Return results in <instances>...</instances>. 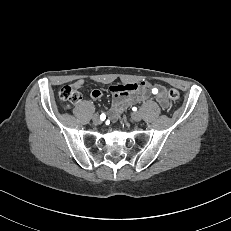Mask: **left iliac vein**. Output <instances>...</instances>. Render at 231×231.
<instances>
[{"label":"left iliac vein","instance_id":"left-iliac-vein-1","mask_svg":"<svg viewBox=\"0 0 231 231\" xmlns=\"http://www.w3.org/2000/svg\"><path fill=\"white\" fill-rule=\"evenodd\" d=\"M131 118L134 121L139 122L142 119V115L140 112H134V113H132Z\"/></svg>","mask_w":231,"mask_h":231}]
</instances>
